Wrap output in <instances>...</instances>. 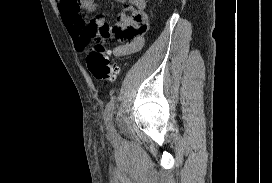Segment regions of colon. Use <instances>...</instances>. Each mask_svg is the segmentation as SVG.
<instances>
[{
	"label": "colon",
	"mask_w": 272,
	"mask_h": 183,
	"mask_svg": "<svg viewBox=\"0 0 272 183\" xmlns=\"http://www.w3.org/2000/svg\"><path fill=\"white\" fill-rule=\"evenodd\" d=\"M107 40L108 39L96 40L94 46L90 48L85 55V61L89 72L99 82L113 81L119 72L118 66L106 50Z\"/></svg>",
	"instance_id": "1"
}]
</instances>
